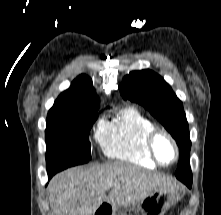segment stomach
<instances>
[{
  "label": "stomach",
  "instance_id": "0dacf381",
  "mask_svg": "<svg viewBox=\"0 0 221 215\" xmlns=\"http://www.w3.org/2000/svg\"><path fill=\"white\" fill-rule=\"evenodd\" d=\"M179 199L176 189L158 190L135 204L117 208L113 215H164Z\"/></svg>",
  "mask_w": 221,
  "mask_h": 215
}]
</instances>
